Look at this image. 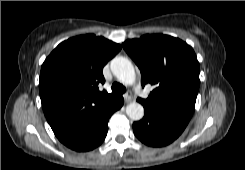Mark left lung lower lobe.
Here are the masks:
<instances>
[{
  "instance_id": "obj_1",
  "label": "left lung lower lobe",
  "mask_w": 245,
  "mask_h": 170,
  "mask_svg": "<svg viewBox=\"0 0 245 170\" xmlns=\"http://www.w3.org/2000/svg\"><path fill=\"white\" fill-rule=\"evenodd\" d=\"M143 106L145 115L142 120L133 123V131L148 146L161 147L172 143L190 121L189 118L170 111Z\"/></svg>"
}]
</instances>
